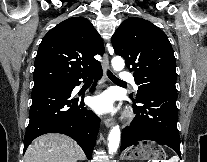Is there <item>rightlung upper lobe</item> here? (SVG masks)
Instances as JSON below:
<instances>
[{
	"label": "right lung upper lobe",
	"instance_id": "obj_1",
	"mask_svg": "<svg viewBox=\"0 0 207 162\" xmlns=\"http://www.w3.org/2000/svg\"><path fill=\"white\" fill-rule=\"evenodd\" d=\"M103 53L102 39L88 19L64 20L42 39L34 64L33 89L86 76L101 67L94 56Z\"/></svg>",
	"mask_w": 207,
	"mask_h": 162
}]
</instances>
